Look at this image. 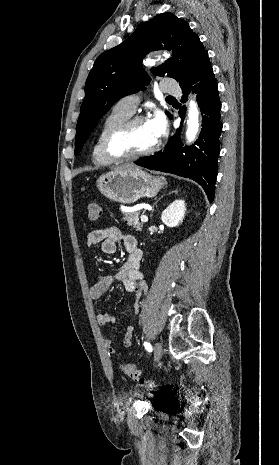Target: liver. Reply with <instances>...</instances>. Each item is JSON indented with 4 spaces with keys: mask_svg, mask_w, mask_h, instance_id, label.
Wrapping results in <instances>:
<instances>
[{
    "mask_svg": "<svg viewBox=\"0 0 279 465\" xmlns=\"http://www.w3.org/2000/svg\"><path fill=\"white\" fill-rule=\"evenodd\" d=\"M131 168H136V166H135V165L127 164V165L121 166V167L118 168V169H131Z\"/></svg>",
    "mask_w": 279,
    "mask_h": 465,
    "instance_id": "liver-1",
    "label": "liver"
}]
</instances>
